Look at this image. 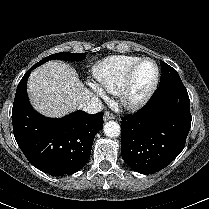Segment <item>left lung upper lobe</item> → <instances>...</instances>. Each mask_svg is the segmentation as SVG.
Returning <instances> with one entry per match:
<instances>
[{
	"label": "left lung upper lobe",
	"instance_id": "1",
	"mask_svg": "<svg viewBox=\"0 0 209 209\" xmlns=\"http://www.w3.org/2000/svg\"><path fill=\"white\" fill-rule=\"evenodd\" d=\"M161 69H162V75L160 78V85L169 83V82H180L181 78L177 71L166 64L165 62L161 61Z\"/></svg>",
	"mask_w": 209,
	"mask_h": 209
}]
</instances>
